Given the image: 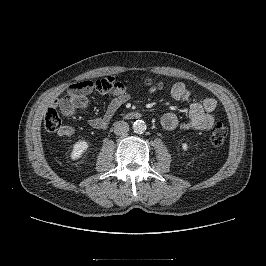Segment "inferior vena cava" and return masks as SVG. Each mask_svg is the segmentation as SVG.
<instances>
[{
  "instance_id": "1",
  "label": "inferior vena cava",
  "mask_w": 266,
  "mask_h": 266,
  "mask_svg": "<svg viewBox=\"0 0 266 266\" xmlns=\"http://www.w3.org/2000/svg\"><path fill=\"white\" fill-rule=\"evenodd\" d=\"M129 131V125L125 121H118L114 124V133L118 136L125 135Z\"/></svg>"
}]
</instances>
